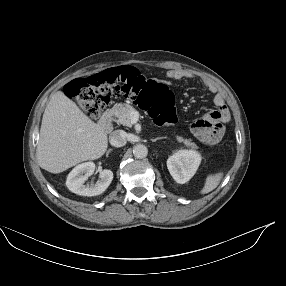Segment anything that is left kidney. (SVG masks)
<instances>
[{"instance_id":"5707ae66","label":"left kidney","mask_w":286,"mask_h":286,"mask_svg":"<svg viewBox=\"0 0 286 286\" xmlns=\"http://www.w3.org/2000/svg\"><path fill=\"white\" fill-rule=\"evenodd\" d=\"M201 156L194 150H179L167 160V168L173 179L180 184H184L196 173Z\"/></svg>"}]
</instances>
